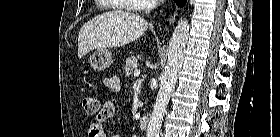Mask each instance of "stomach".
<instances>
[{
  "mask_svg": "<svg viewBox=\"0 0 280 137\" xmlns=\"http://www.w3.org/2000/svg\"><path fill=\"white\" fill-rule=\"evenodd\" d=\"M89 62L94 70L103 71L110 66L112 53L107 48L99 49L91 55Z\"/></svg>",
  "mask_w": 280,
  "mask_h": 137,
  "instance_id": "1",
  "label": "stomach"
}]
</instances>
